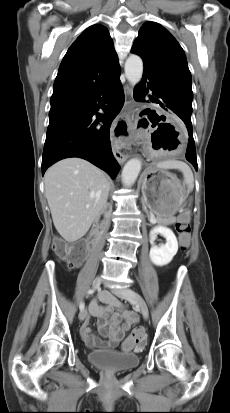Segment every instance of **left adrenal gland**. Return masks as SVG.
<instances>
[{
	"instance_id": "1",
	"label": "left adrenal gland",
	"mask_w": 230,
	"mask_h": 413,
	"mask_svg": "<svg viewBox=\"0 0 230 413\" xmlns=\"http://www.w3.org/2000/svg\"><path fill=\"white\" fill-rule=\"evenodd\" d=\"M143 208H144V210H145V212L147 213L148 218H149V214H148V211H147L146 206L144 205V203H143Z\"/></svg>"
}]
</instances>
